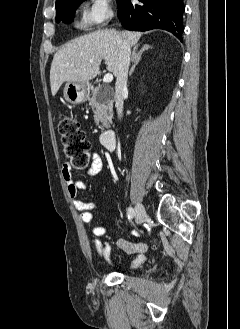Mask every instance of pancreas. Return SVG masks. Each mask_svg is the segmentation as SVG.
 Instances as JSON below:
<instances>
[{"instance_id":"1","label":"pancreas","mask_w":240,"mask_h":329,"mask_svg":"<svg viewBox=\"0 0 240 329\" xmlns=\"http://www.w3.org/2000/svg\"><path fill=\"white\" fill-rule=\"evenodd\" d=\"M88 101L94 112L95 123H102L99 126L102 131L109 128L113 117V99L109 95H104L100 87H96Z\"/></svg>"}]
</instances>
